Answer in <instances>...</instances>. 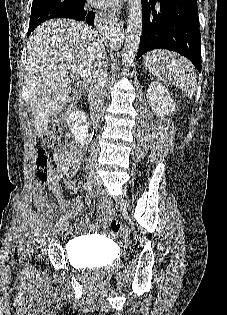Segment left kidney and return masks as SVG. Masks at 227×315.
Wrapping results in <instances>:
<instances>
[{"instance_id":"obj_1","label":"left kidney","mask_w":227,"mask_h":315,"mask_svg":"<svg viewBox=\"0 0 227 315\" xmlns=\"http://www.w3.org/2000/svg\"><path fill=\"white\" fill-rule=\"evenodd\" d=\"M147 99L157 116L168 115L175 111V102L171 99L168 90L161 83L152 82L149 85Z\"/></svg>"}]
</instances>
